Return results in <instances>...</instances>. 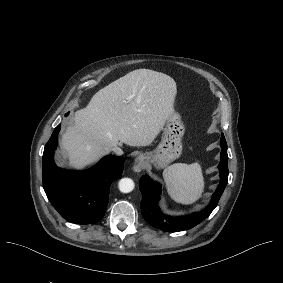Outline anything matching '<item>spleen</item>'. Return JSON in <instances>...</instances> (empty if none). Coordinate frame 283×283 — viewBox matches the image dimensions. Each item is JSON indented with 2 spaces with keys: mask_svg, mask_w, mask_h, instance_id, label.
Listing matches in <instances>:
<instances>
[{
  "mask_svg": "<svg viewBox=\"0 0 283 283\" xmlns=\"http://www.w3.org/2000/svg\"><path fill=\"white\" fill-rule=\"evenodd\" d=\"M169 198L181 205H193L205 191L202 165L198 161L191 164H176L162 174Z\"/></svg>",
  "mask_w": 283,
  "mask_h": 283,
  "instance_id": "3e777b00",
  "label": "spleen"
}]
</instances>
